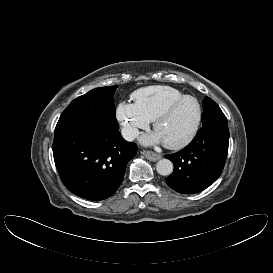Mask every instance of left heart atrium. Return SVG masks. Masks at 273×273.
<instances>
[{
	"mask_svg": "<svg viewBox=\"0 0 273 273\" xmlns=\"http://www.w3.org/2000/svg\"><path fill=\"white\" fill-rule=\"evenodd\" d=\"M140 141L145 144V145H150V144H157L163 142L161 137L157 134V132L149 133L146 135H143L140 138Z\"/></svg>",
	"mask_w": 273,
	"mask_h": 273,
	"instance_id": "obj_1",
	"label": "left heart atrium"
}]
</instances>
